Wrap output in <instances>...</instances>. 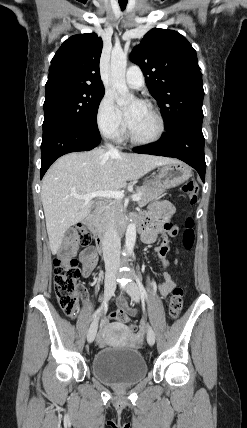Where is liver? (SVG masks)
I'll return each instance as SVG.
<instances>
[{
	"label": "liver",
	"instance_id": "6515ba94",
	"mask_svg": "<svg viewBox=\"0 0 247 428\" xmlns=\"http://www.w3.org/2000/svg\"><path fill=\"white\" fill-rule=\"evenodd\" d=\"M179 162L176 159L133 153H110L96 148L59 158L43 178V204L49 246L52 254L61 248L66 231L85 219L93 202L74 195L104 190H120L156 167Z\"/></svg>",
	"mask_w": 247,
	"mask_h": 428
}]
</instances>
